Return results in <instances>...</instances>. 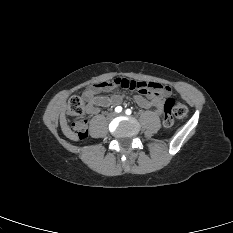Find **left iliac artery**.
<instances>
[{"label": "left iliac artery", "mask_w": 233, "mask_h": 233, "mask_svg": "<svg viewBox=\"0 0 233 233\" xmlns=\"http://www.w3.org/2000/svg\"><path fill=\"white\" fill-rule=\"evenodd\" d=\"M125 113H126L127 115H130V114L132 113V111H131L130 109H127V110L125 111Z\"/></svg>", "instance_id": "44dca946"}]
</instances>
